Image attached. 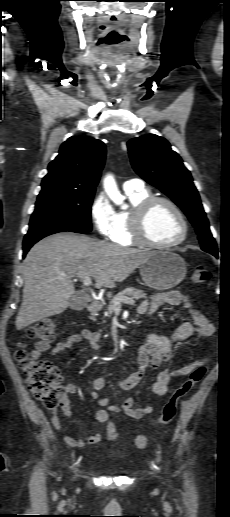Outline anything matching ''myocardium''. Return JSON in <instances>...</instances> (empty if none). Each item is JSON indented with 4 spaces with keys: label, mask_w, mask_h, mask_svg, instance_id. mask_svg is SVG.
Returning <instances> with one entry per match:
<instances>
[{
    "label": "myocardium",
    "mask_w": 230,
    "mask_h": 517,
    "mask_svg": "<svg viewBox=\"0 0 230 517\" xmlns=\"http://www.w3.org/2000/svg\"><path fill=\"white\" fill-rule=\"evenodd\" d=\"M158 203H163L169 206L179 217L181 220L183 231L181 236L173 241L168 243H159L154 240H152L147 233V227H146V221L147 217L151 211V209ZM132 236L136 243L152 247V248H159V249H169L176 247L183 243L189 234V223L188 220L183 213V211L180 209V207L173 202L172 200L162 197V196H150L143 200L140 204H138L132 213Z\"/></svg>",
    "instance_id": "obj_1"
}]
</instances>
